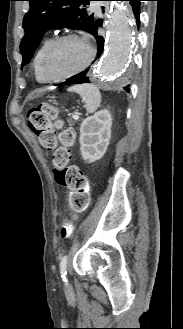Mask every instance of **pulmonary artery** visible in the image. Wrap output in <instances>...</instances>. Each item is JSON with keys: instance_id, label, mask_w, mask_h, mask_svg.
<instances>
[{"instance_id": "obj_1", "label": "pulmonary artery", "mask_w": 183, "mask_h": 329, "mask_svg": "<svg viewBox=\"0 0 183 329\" xmlns=\"http://www.w3.org/2000/svg\"><path fill=\"white\" fill-rule=\"evenodd\" d=\"M90 8L94 10L97 14L101 12L100 5L98 2H91Z\"/></svg>"}]
</instances>
